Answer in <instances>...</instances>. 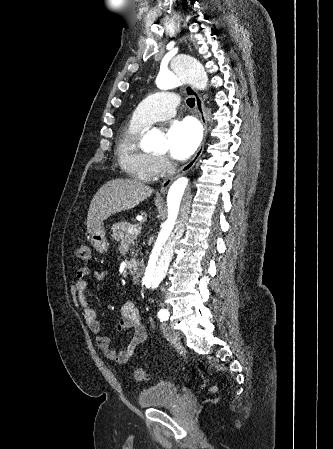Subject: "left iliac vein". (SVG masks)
<instances>
[{
    "label": "left iliac vein",
    "mask_w": 333,
    "mask_h": 449,
    "mask_svg": "<svg viewBox=\"0 0 333 449\" xmlns=\"http://www.w3.org/2000/svg\"><path fill=\"white\" fill-rule=\"evenodd\" d=\"M164 337L173 343H177L180 339L179 334L168 324H163L161 327Z\"/></svg>",
    "instance_id": "1"
}]
</instances>
